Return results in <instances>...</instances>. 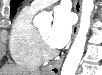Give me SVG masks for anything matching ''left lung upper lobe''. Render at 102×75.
Wrapping results in <instances>:
<instances>
[{
    "mask_svg": "<svg viewBox=\"0 0 102 75\" xmlns=\"http://www.w3.org/2000/svg\"><path fill=\"white\" fill-rule=\"evenodd\" d=\"M22 0H11V16L13 17L16 13L17 6Z\"/></svg>",
    "mask_w": 102,
    "mask_h": 75,
    "instance_id": "obj_1",
    "label": "left lung upper lobe"
}]
</instances>
